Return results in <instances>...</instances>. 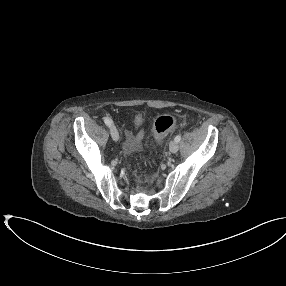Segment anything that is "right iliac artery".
Here are the masks:
<instances>
[{"label":"right iliac artery","instance_id":"82829eb1","mask_svg":"<svg viewBox=\"0 0 286 286\" xmlns=\"http://www.w3.org/2000/svg\"><path fill=\"white\" fill-rule=\"evenodd\" d=\"M104 122H105V124H106L107 126H109V127L112 125V120L109 119V118H104Z\"/></svg>","mask_w":286,"mask_h":286}]
</instances>
